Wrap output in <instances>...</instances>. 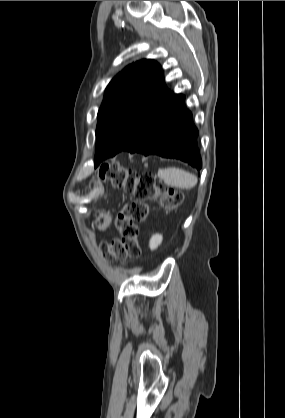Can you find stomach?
I'll return each instance as SVG.
<instances>
[{
  "label": "stomach",
  "instance_id": "1",
  "mask_svg": "<svg viewBox=\"0 0 285 418\" xmlns=\"http://www.w3.org/2000/svg\"><path fill=\"white\" fill-rule=\"evenodd\" d=\"M109 222H110V217H107V219H106V225H108Z\"/></svg>",
  "mask_w": 285,
  "mask_h": 418
}]
</instances>
